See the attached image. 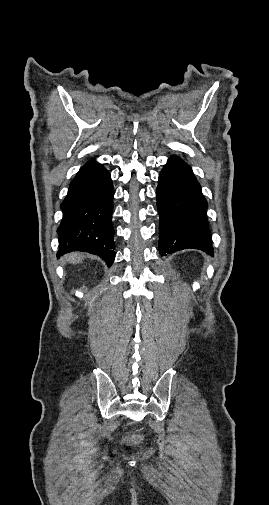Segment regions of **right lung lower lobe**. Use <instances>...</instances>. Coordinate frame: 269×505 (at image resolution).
<instances>
[{"instance_id": "98d812e1", "label": "right lung lower lobe", "mask_w": 269, "mask_h": 505, "mask_svg": "<svg viewBox=\"0 0 269 505\" xmlns=\"http://www.w3.org/2000/svg\"><path fill=\"white\" fill-rule=\"evenodd\" d=\"M114 188L110 173L94 160L86 163L69 185L60 208L63 218L57 256L83 251L110 266L115 257L111 215Z\"/></svg>"}]
</instances>
